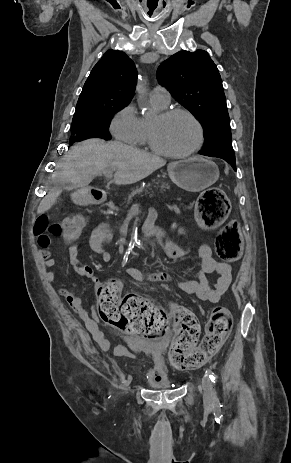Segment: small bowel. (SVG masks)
<instances>
[{"instance_id": "small-bowel-1", "label": "small bowel", "mask_w": 291, "mask_h": 463, "mask_svg": "<svg viewBox=\"0 0 291 463\" xmlns=\"http://www.w3.org/2000/svg\"><path fill=\"white\" fill-rule=\"evenodd\" d=\"M149 220H154L151 214L142 229L144 234H147L149 239L146 243L149 245H160L166 255L173 259H179L186 256L191 250V242L186 238L185 232L179 230V234L184 238V243L180 245L170 244L167 238L168 234L165 231H160L157 226H147ZM112 238V233L109 225L105 222L99 223L92 231L89 238L90 248L101 255L105 262H110L112 256L105 248ZM75 240V239H74ZM74 240H68L70 264L73 270L82 278L91 280L95 287L99 285V279L95 275L93 268L84 262L79 257V246ZM38 245L41 249L40 255L43 259V266L47 271L45 280L47 282L54 281L58 276V271L53 269L57 260L52 256L50 250V238L48 235L37 237ZM217 273L218 278L213 285L208 281L206 274ZM129 277L136 281H152V282H171L172 277L166 272L147 274L145 275L141 270L136 268H129L126 270ZM232 282V271L229 264L215 260L212 257L211 248L207 244H203L198 249V263L195 278L179 283V287L185 293L193 295L199 300L207 301L210 303H217L221 296L226 292ZM58 293L62 296L67 303L71 306L72 310L84 322L86 328L93 336L94 340L99 344L101 349L114 356H124L126 351L123 347H113L109 341L104 338L103 333L98 328V323L95 318L91 317L89 312L83 305V300L77 294L75 288H59Z\"/></svg>"}]
</instances>
